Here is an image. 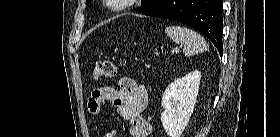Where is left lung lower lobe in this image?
Masks as SVG:
<instances>
[{
  "instance_id": "1",
  "label": "left lung lower lobe",
  "mask_w": 280,
  "mask_h": 137,
  "mask_svg": "<svg viewBox=\"0 0 280 137\" xmlns=\"http://www.w3.org/2000/svg\"><path fill=\"white\" fill-rule=\"evenodd\" d=\"M222 5L223 0H162L144 14L193 27L209 38L222 55Z\"/></svg>"
}]
</instances>
